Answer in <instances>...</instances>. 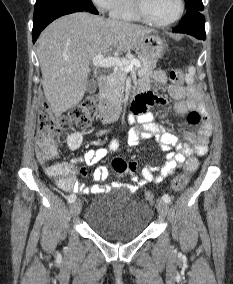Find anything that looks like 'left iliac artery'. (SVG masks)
<instances>
[{"instance_id":"obj_1","label":"left iliac artery","mask_w":233,"mask_h":284,"mask_svg":"<svg viewBox=\"0 0 233 284\" xmlns=\"http://www.w3.org/2000/svg\"><path fill=\"white\" fill-rule=\"evenodd\" d=\"M162 199L166 202V203H170L171 202V197L168 194H164Z\"/></svg>"}]
</instances>
